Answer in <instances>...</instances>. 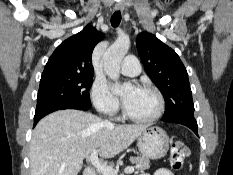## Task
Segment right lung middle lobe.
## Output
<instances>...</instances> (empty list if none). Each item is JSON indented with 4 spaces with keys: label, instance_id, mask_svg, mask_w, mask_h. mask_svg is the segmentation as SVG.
I'll return each mask as SVG.
<instances>
[{
    "label": "right lung middle lobe",
    "instance_id": "dd1d6c3e",
    "mask_svg": "<svg viewBox=\"0 0 233 175\" xmlns=\"http://www.w3.org/2000/svg\"><path fill=\"white\" fill-rule=\"evenodd\" d=\"M93 74H75L41 78L36 112L51 106L91 107L89 89Z\"/></svg>",
    "mask_w": 233,
    "mask_h": 175
}]
</instances>
